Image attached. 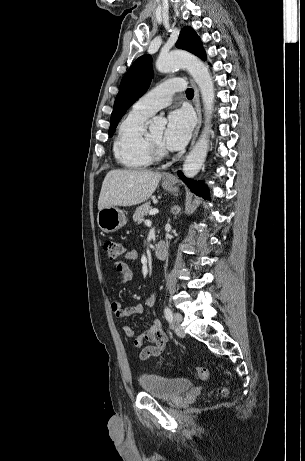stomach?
Here are the masks:
<instances>
[{
	"label": "stomach",
	"mask_w": 305,
	"mask_h": 461,
	"mask_svg": "<svg viewBox=\"0 0 305 461\" xmlns=\"http://www.w3.org/2000/svg\"><path fill=\"white\" fill-rule=\"evenodd\" d=\"M162 186L170 192H178L174 182H163ZM97 223L101 230L112 233L122 228L127 223V218L122 210L117 207H108L99 210Z\"/></svg>",
	"instance_id": "obj_1"
}]
</instances>
